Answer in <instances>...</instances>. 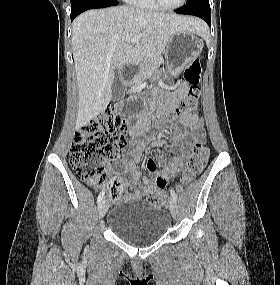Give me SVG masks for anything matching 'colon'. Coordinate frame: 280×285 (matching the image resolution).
Masks as SVG:
<instances>
[{"instance_id": "obj_1", "label": "colon", "mask_w": 280, "mask_h": 285, "mask_svg": "<svg viewBox=\"0 0 280 285\" xmlns=\"http://www.w3.org/2000/svg\"><path fill=\"white\" fill-rule=\"evenodd\" d=\"M201 64L193 59L184 71V81L188 85L187 93L180 104V111L195 114L198 111L201 97ZM127 127L122 116L113 108L106 110L84 124L76 133L69 161L76 176L88 186L98 189L107 185L110 196H118V182L109 179L104 172V165L113 159L118 152L127 148ZM209 151L203 141L194 142L182 175V183L194 181L203 171ZM148 202L163 204L166 195L154 192L148 195Z\"/></svg>"}]
</instances>
